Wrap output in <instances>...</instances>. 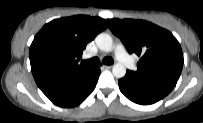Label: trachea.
I'll return each instance as SVG.
<instances>
[{"label": "trachea", "instance_id": "1", "mask_svg": "<svg viewBox=\"0 0 203 123\" xmlns=\"http://www.w3.org/2000/svg\"><path fill=\"white\" fill-rule=\"evenodd\" d=\"M113 62L114 61H113V59L111 57H105L103 59V63L106 64V65H111V64H113ZM99 63H100V60H99L98 57H94L92 59L82 61V64H84V65H90V66L91 65H97Z\"/></svg>", "mask_w": 203, "mask_h": 123}]
</instances>
